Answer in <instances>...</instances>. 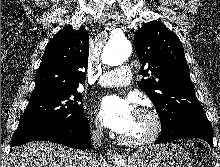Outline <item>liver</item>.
Wrapping results in <instances>:
<instances>
[{"label": "liver", "instance_id": "1", "mask_svg": "<svg viewBox=\"0 0 220 167\" xmlns=\"http://www.w3.org/2000/svg\"><path fill=\"white\" fill-rule=\"evenodd\" d=\"M80 151L50 142H30L15 148L6 167H78ZM96 159L93 167H99Z\"/></svg>", "mask_w": 220, "mask_h": 167}]
</instances>
